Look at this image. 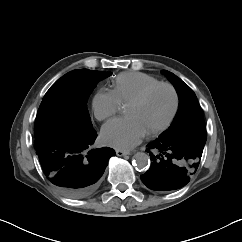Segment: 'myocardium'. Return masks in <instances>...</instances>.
Here are the masks:
<instances>
[{
    "label": "myocardium",
    "instance_id": "1",
    "mask_svg": "<svg viewBox=\"0 0 242 242\" xmlns=\"http://www.w3.org/2000/svg\"><path fill=\"white\" fill-rule=\"evenodd\" d=\"M159 87H167L172 91L173 96H174V106H173V110L166 122H164L162 125L147 132V134L150 136L158 135V134L166 131L173 124V122L176 119V116L179 112V108H180V96H179L178 90L176 89V87L173 84H171L169 82H158L156 84H153V85L147 87L141 93H139L137 96H135L128 102L129 104L141 103V102L145 101L148 98V96Z\"/></svg>",
    "mask_w": 242,
    "mask_h": 242
}]
</instances>
